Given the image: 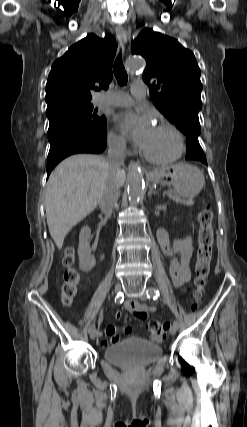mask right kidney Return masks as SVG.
I'll return each instance as SVG.
<instances>
[{"instance_id":"1","label":"right kidney","mask_w":247,"mask_h":427,"mask_svg":"<svg viewBox=\"0 0 247 427\" xmlns=\"http://www.w3.org/2000/svg\"><path fill=\"white\" fill-rule=\"evenodd\" d=\"M91 230L88 226H84L79 235V246H78V256H79V268L82 271L88 272L91 271L95 264V258L91 255V249L89 245V237Z\"/></svg>"}]
</instances>
